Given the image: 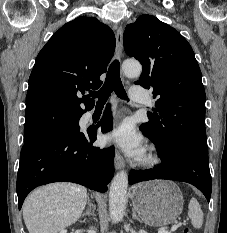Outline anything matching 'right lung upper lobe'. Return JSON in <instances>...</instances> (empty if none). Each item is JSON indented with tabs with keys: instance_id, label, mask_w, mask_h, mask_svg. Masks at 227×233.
Masks as SVG:
<instances>
[{
	"instance_id": "obj_1",
	"label": "right lung upper lobe",
	"mask_w": 227,
	"mask_h": 233,
	"mask_svg": "<svg viewBox=\"0 0 227 233\" xmlns=\"http://www.w3.org/2000/svg\"><path fill=\"white\" fill-rule=\"evenodd\" d=\"M113 31L94 17L63 25L39 52L26 96L24 136L41 134L80 119L91 109V89L102 85L114 54Z\"/></svg>"
}]
</instances>
